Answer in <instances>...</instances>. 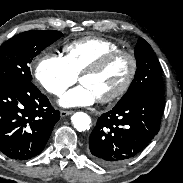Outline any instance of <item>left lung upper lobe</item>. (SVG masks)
I'll return each mask as SVG.
<instances>
[{
	"instance_id": "left-lung-upper-lobe-1",
	"label": "left lung upper lobe",
	"mask_w": 183,
	"mask_h": 183,
	"mask_svg": "<svg viewBox=\"0 0 183 183\" xmlns=\"http://www.w3.org/2000/svg\"><path fill=\"white\" fill-rule=\"evenodd\" d=\"M135 58V78L118 103L143 94L164 95L160 64L153 49L143 38H140L135 46Z\"/></svg>"
}]
</instances>
